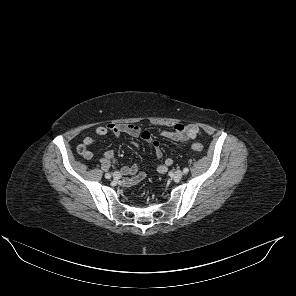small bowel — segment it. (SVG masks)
I'll return each mask as SVG.
<instances>
[{
  "instance_id": "obj_1",
  "label": "small bowel",
  "mask_w": 296,
  "mask_h": 296,
  "mask_svg": "<svg viewBox=\"0 0 296 296\" xmlns=\"http://www.w3.org/2000/svg\"><path fill=\"white\" fill-rule=\"evenodd\" d=\"M108 133H112L115 136H120L122 134H127L133 137L140 138L145 142L149 143L153 146L155 150L156 157L160 160L163 158V150L160 146V143L152 136V134L137 125L130 123H121L115 124L110 123L104 126H98L95 128V134L98 136H104ZM200 129L195 125H186L182 123L175 124L171 128L162 129L161 135L167 139L177 141V142H187L189 140H193L200 136ZM94 138L87 136L83 139V148L85 149V153H83V157L86 159H90L93 154L87 148L88 146L94 143ZM136 148H139L137 143H133ZM103 158L107 161L115 162V154L113 150H107L103 153ZM173 158H166L162 162H159L156 165V171L158 174H164L167 172L168 167L173 164ZM122 173L129 177H125L121 180L122 184L125 186H134L138 184L145 176V172H139V166L137 164L124 166L122 168Z\"/></svg>"
}]
</instances>
